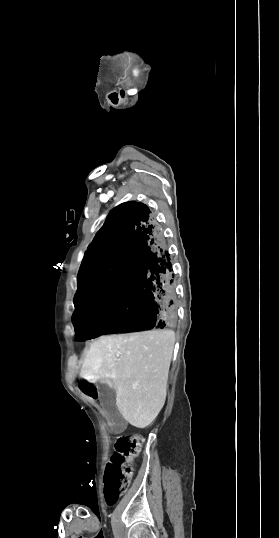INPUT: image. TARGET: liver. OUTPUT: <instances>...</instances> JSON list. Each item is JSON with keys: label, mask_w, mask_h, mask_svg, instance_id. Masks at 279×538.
<instances>
[{"label": "liver", "mask_w": 279, "mask_h": 538, "mask_svg": "<svg viewBox=\"0 0 279 538\" xmlns=\"http://www.w3.org/2000/svg\"><path fill=\"white\" fill-rule=\"evenodd\" d=\"M174 344L173 330L101 336L91 344L80 376L114 388L124 420L147 428L165 404Z\"/></svg>", "instance_id": "1"}]
</instances>
